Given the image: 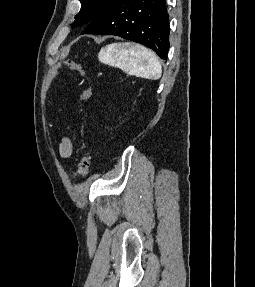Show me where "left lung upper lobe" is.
<instances>
[{
  "label": "left lung upper lobe",
  "instance_id": "left-lung-upper-lobe-1",
  "mask_svg": "<svg viewBox=\"0 0 255 287\" xmlns=\"http://www.w3.org/2000/svg\"><path fill=\"white\" fill-rule=\"evenodd\" d=\"M112 0H80L81 10L75 16L72 27L90 23Z\"/></svg>",
  "mask_w": 255,
  "mask_h": 287
}]
</instances>
